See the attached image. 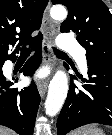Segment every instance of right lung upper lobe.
Returning <instances> with one entry per match:
<instances>
[{
  "mask_svg": "<svg viewBox=\"0 0 112 135\" xmlns=\"http://www.w3.org/2000/svg\"><path fill=\"white\" fill-rule=\"evenodd\" d=\"M48 0H0V63L15 55L22 44H33L43 38L39 34L31 37L40 29L42 16ZM16 46L8 54L10 46Z\"/></svg>",
  "mask_w": 112,
  "mask_h": 135,
  "instance_id": "1",
  "label": "right lung upper lobe"
}]
</instances>
